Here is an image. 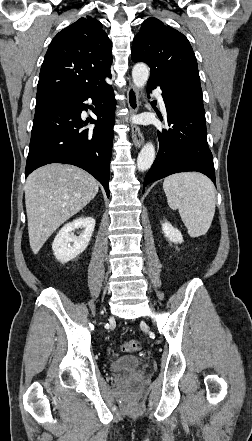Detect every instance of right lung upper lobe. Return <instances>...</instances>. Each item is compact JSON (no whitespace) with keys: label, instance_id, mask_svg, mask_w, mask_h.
Returning a JSON list of instances; mask_svg holds the SVG:
<instances>
[{"label":"right lung upper lobe","instance_id":"right-lung-upper-lobe-1","mask_svg":"<svg viewBox=\"0 0 252 441\" xmlns=\"http://www.w3.org/2000/svg\"><path fill=\"white\" fill-rule=\"evenodd\" d=\"M111 41L102 24L86 16L51 41L41 67L36 102L76 89H97L111 77Z\"/></svg>","mask_w":252,"mask_h":441}]
</instances>
